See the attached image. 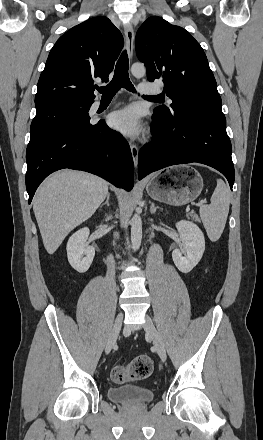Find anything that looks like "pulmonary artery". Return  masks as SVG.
I'll list each match as a JSON object with an SVG mask.
<instances>
[{
	"mask_svg": "<svg viewBox=\"0 0 263 440\" xmlns=\"http://www.w3.org/2000/svg\"><path fill=\"white\" fill-rule=\"evenodd\" d=\"M138 92L141 94H156L160 92V89L156 86L148 87L147 85L140 83L138 85ZM168 101L171 102L170 99ZM99 106H100V102L97 101L93 104L92 108L95 110L99 108Z\"/></svg>",
	"mask_w": 263,
	"mask_h": 440,
	"instance_id": "obj_1",
	"label": "pulmonary artery"
}]
</instances>
